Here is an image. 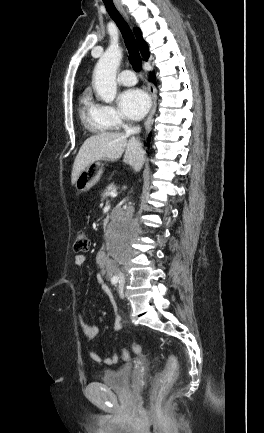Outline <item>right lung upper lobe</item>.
Returning a JSON list of instances; mask_svg holds the SVG:
<instances>
[{"instance_id": "cb5924a9", "label": "right lung upper lobe", "mask_w": 264, "mask_h": 433, "mask_svg": "<svg viewBox=\"0 0 264 433\" xmlns=\"http://www.w3.org/2000/svg\"><path fill=\"white\" fill-rule=\"evenodd\" d=\"M135 34H136L137 39L139 41V47H140V51H141L142 56L144 58L148 59L149 58L148 46H147V43L144 40H142V33H141L139 28L135 29Z\"/></svg>"}]
</instances>
